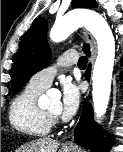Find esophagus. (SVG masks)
Listing matches in <instances>:
<instances>
[{"label":"esophagus","instance_id":"obj_1","mask_svg":"<svg viewBox=\"0 0 123 152\" xmlns=\"http://www.w3.org/2000/svg\"><path fill=\"white\" fill-rule=\"evenodd\" d=\"M82 34H83V37L86 41V43L89 45L90 47V51H91V57H90V61L89 63L91 65H93L94 61H95V58H96V54H97V46H96V42L94 40V38L91 36V34L86 31L85 29L82 30ZM65 146L67 147H70L73 145V141H66L64 143Z\"/></svg>","mask_w":123,"mask_h":152}]
</instances>
